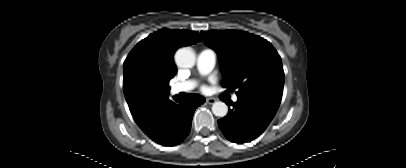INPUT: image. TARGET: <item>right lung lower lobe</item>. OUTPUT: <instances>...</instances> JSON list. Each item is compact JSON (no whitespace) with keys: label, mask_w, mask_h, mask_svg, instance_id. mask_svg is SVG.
Wrapping results in <instances>:
<instances>
[{"label":"right lung lower lobe","mask_w":406,"mask_h":168,"mask_svg":"<svg viewBox=\"0 0 406 168\" xmlns=\"http://www.w3.org/2000/svg\"><path fill=\"white\" fill-rule=\"evenodd\" d=\"M174 99L178 103L167 96L133 117L149 138L164 146L177 145L188 136L194 111L205 102L198 94H190L184 100Z\"/></svg>","instance_id":"1"}]
</instances>
